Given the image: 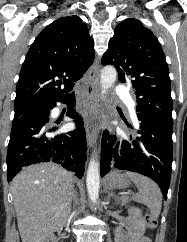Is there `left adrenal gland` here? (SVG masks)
Returning a JSON list of instances; mask_svg holds the SVG:
<instances>
[{
  "label": "left adrenal gland",
  "instance_id": "1",
  "mask_svg": "<svg viewBox=\"0 0 187 242\" xmlns=\"http://www.w3.org/2000/svg\"><path fill=\"white\" fill-rule=\"evenodd\" d=\"M111 198L118 199V197L112 191H107V201H109Z\"/></svg>",
  "mask_w": 187,
  "mask_h": 242
}]
</instances>
